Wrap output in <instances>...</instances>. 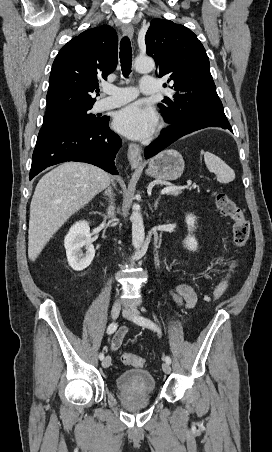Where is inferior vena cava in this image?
<instances>
[{"instance_id":"inferior-vena-cava-1","label":"inferior vena cava","mask_w":272,"mask_h":452,"mask_svg":"<svg viewBox=\"0 0 272 452\" xmlns=\"http://www.w3.org/2000/svg\"><path fill=\"white\" fill-rule=\"evenodd\" d=\"M106 193H107L108 195H110V197H112V192H111V189H110L109 187H108ZM107 213H108V216H109V217L114 218V215H115V207H114V205H113L112 203H111V205L109 206Z\"/></svg>"}]
</instances>
